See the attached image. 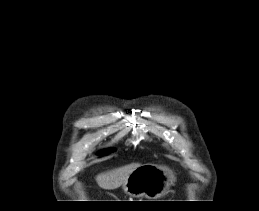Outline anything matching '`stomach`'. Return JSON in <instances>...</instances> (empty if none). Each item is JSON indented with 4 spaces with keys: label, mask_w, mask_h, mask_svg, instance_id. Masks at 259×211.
I'll return each instance as SVG.
<instances>
[{
    "label": "stomach",
    "mask_w": 259,
    "mask_h": 211,
    "mask_svg": "<svg viewBox=\"0 0 259 211\" xmlns=\"http://www.w3.org/2000/svg\"><path fill=\"white\" fill-rule=\"evenodd\" d=\"M171 183L172 177L164 166L145 164L129 175L122 190L131 197L154 199L167 194Z\"/></svg>",
    "instance_id": "obj_1"
}]
</instances>
